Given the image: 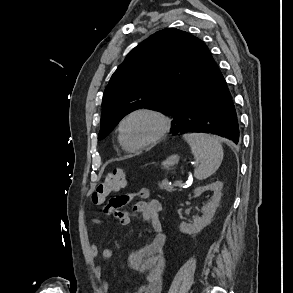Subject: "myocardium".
Segmentation results:
<instances>
[{"label": "myocardium", "mask_w": 293, "mask_h": 293, "mask_svg": "<svg viewBox=\"0 0 293 293\" xmlns=\"http://www.w3.org/2000/svg\"><path fill=\"white\" fill-rule=\"evenodd\" d=\"M136 115H149L153 118H155L158 122V130L156 132V134L150 138L149 140L140 143V144H136V145H130L127 143L125 137H124V125L126 124V122L132 118L133 116ZM170 130V120L168 119L167 116H165L163 113L155 110V109H151V108H138L135 109L131 112H129L120 122L119 127H118V133H119V139L120 142L122 144V146L128 150V151H137V150H141L144 149L146 147H149L151 145L156 144L157 142H159L160 140H162L166 134L169 132Z\"/></svg>", "instance_id": "f54148a6"}]
</instances>
